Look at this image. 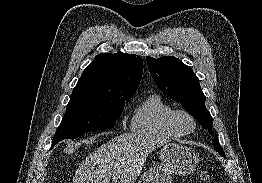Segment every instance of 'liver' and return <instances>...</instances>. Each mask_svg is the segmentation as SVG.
Here are the masks:
<instances>
[{
  "label": "liver",
  "instance_id": "obj_1",
  "mask_svg": "<svg viewBox=\"0 0 262 183\" xmlns=\"http://www.w3.org/2000/svg\"><path fill=\"white\" fill-rule=\"evenodd\" d=\"M152 134L124 133L93 151L78 167L73 183H134L148 154L168 143Z\"/></svg>",
  "mask_w": 262,
  "mask_h": 183
}]
</instances>
